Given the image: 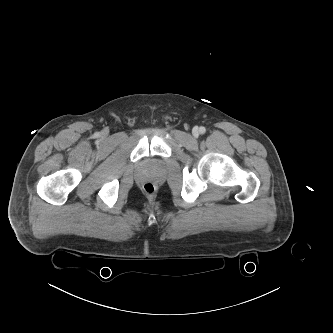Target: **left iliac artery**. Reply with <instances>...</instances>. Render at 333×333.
<instances>
[{
  "label": "left iliac artery",
  "mask_w": 333,
  "mask_h": 333,
  "mask_svg": "<svg viewBox=\"0 0 333 333\" xmlns=\"http://www.w3.org/2000/svg\"><path fill=\"white\" fill-rule=\"evenodd\" d=\"M199 132L201 133V134H204L205 132H206V129H205V127H200L199 128Z\"/></svg>",
  "instance_id": "left-iliac-artery-1"
}]
</instances>
